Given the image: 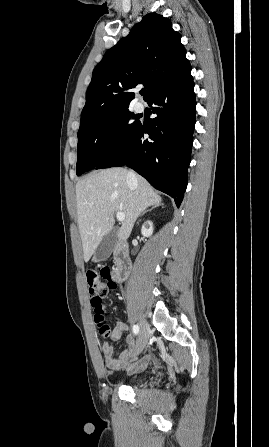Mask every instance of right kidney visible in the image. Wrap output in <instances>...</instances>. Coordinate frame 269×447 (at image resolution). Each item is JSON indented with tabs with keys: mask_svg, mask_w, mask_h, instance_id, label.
Segmentation results:
<instances>
[{
	"mask_svg": "<svg viewBox=\"0 0 269 447\" xmlns=\"http://www.w3.org/2000/svg\"><path fill=\"white\" fill-rule=\"evenodd\" d=\"M141 233L144 235V237H150L153 233V224L148 220V222H144V224L141 227Z\"/></svg>",
	"mask_w": 269,
	"mask_h": 447,
	"instance_id": "ca27d5eb",
	"label": "right kidney"
}]
</instances>
